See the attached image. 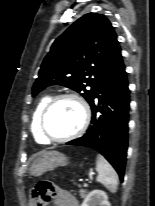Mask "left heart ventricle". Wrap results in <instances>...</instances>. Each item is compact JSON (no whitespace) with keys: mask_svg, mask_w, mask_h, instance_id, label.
I'll list each match as a JSON object with an SVG mask.
<instances>
[{"mask_svg":"<svg viewBox=\"0 0 155 206\" xmlns=\"http://www.w3.org/2000/svg\"><path fill=\"white\" fill-rule=\"evenodd\" d=\"M82 121V112L76 101L64 99L57 102L49 111L45 128L55 138L65 137L76 131Z\"/></svg>","mask_w":155,"mask_h":206,"instance_id":"obj_1","label":"left heart ventricle"}]
</instances>
